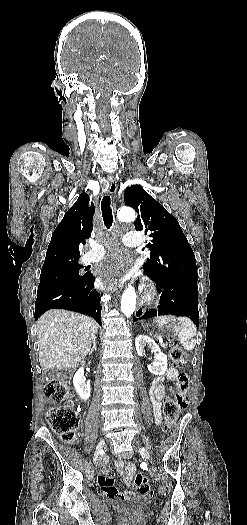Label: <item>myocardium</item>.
I'll use <instances>...</instances> for the list:
<instances>
[{"label": "myocardium", "instance_id": "obj_1", "mask_svg": "<svg viewBox=\"0 0 247 525\" xmlns=\"http://www.w3.org/2000/svg\"><path fill=\"white\" fill-rule=\"evenodd\" d=\"M145 281H146V283L148 285V292H147L146 297H145V302H150L156 296L157 289H156L155 284L152 282V280L146 279Z\"/></svg>", "mask_w": 247, "mask_h": 525}]
</instances>
